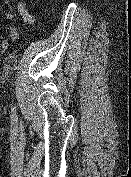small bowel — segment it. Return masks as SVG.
Wrapping results in <instances>:
<instances>
[{"mask_svg":"<svg viewBox=\"0 0 131 177\" xmlns=\"http://www.w3.org/2000/svg\"><path fill=\"white\" fill-rule=\"evenodd\" d=\"M17 11L19 13V15L21 16V18L23 19V21L28 24V25H32L35 23V17L33 14H31L28 10V7L26 5V3L22 2V1H19L17 3ZM3 17L4 19L6 20H10L12 19V13L9 12V11H5L3 13ZM9 33L12 37L14 38H17L18 37V32L16 31V29L14 28H10L9 29ZM0 49L5 52L8 50V43L6 41H3L1 44H0Z\"/></svg>","mask_w":131,"mask_h":177,"instance_id":"small-bowel-1","label":"small bowel"}]
</instances>
